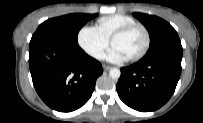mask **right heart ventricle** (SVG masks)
<instances>
[{"label": "right heart ventricle", "mask_w": 203, "mask_h": 123, "mask_svg": "<svg viewBox=\"0 0 203 123\" xmlns=\"http://www.w3.org/2000/svg\"><path fill=\"white\" fill-rule=\"evenodd\" d=\"M137 23V21L125 14H113L101 17L97 22V28L108 40L122 27Z\"/></svg>", "instance_id": "e07e8e85"}]
</instances>
